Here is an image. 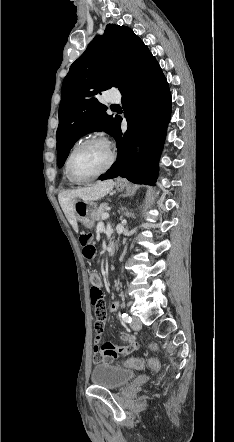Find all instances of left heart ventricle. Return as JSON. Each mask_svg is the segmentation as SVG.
Segmentation results:
<instances>
[{
    "instance_id": "obj_1",
    "label": "left heart ventricle",
    "mask_w": 234,
    "mask_h": 442,
    "mask_svg": "<svg viewBox=\"0 0 234 442\" xmlns=\"http://www.w3.org/2000/svg\"><path fill=\"white\" fill-rule=\"evenodd\" d=\"M109 160V150L101 143L79 149L71 160V169L78 178H87L99 172Z\"/></svg>"
}]
</instances>
